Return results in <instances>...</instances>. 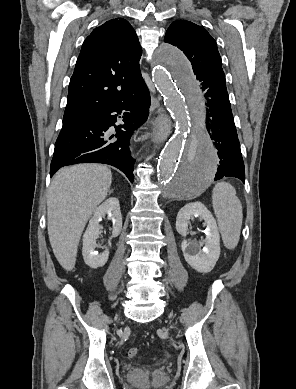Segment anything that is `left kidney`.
<instances>
[{"label":"left kidney","instance_id":"obj_1","mask_svg":"<svg viewBox=\"0 0 296 389\" xmlns=\"http://www.w3.org/2000/svg\"><path fill=\"white\" fill-rule=\"evenodd\" d=\"M194 218L203 219L207 226L206 238L199 243H190L185 240L190 219ZM176 230L184 237L181 249L186 262L197 272H210L220 256V236L211 212L201 202L185 205L177 214ZM202 246L204 247L201 249Z\"/></svg>","mask_w":296,"mask_h":389}]
</instances>
